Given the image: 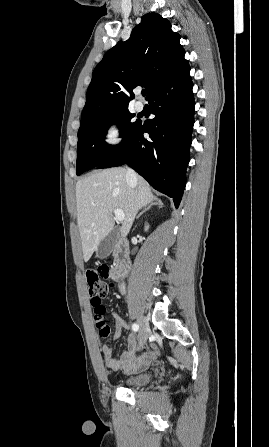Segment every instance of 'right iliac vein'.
<instances>
[{"label":"right iliac vein","instance_id":"obj_1","mask_svg":"<svg viewBox=\"0 0 269 447\" xmlns=\"http://www.w3.org/2000/svg\"><path fill=\"white\" fill-rule=\"evenodd\" d=\"M138 324L140 326L139 329V334H138V338H139V347H142L147 338H148V334H149V324H148V320L146 318L143 317H138Z\"/></svg>","mask_w":269,"mask_h":447}]
</instances>
